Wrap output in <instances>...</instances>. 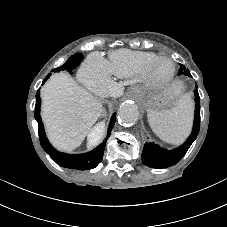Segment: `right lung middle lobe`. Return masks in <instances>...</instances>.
Here are the masks:
<instances>
[{
  "label": "right lung middle lobe",
  "instance_id": "1",
  "mask_svg": "<svg viewBox=\"0 0 227 227\" xmlns=\"http://www.w3.org/2000/svg\"><path fill=\"white\" fill-rule=\"evenodd\" d=\"M82 58H83L82 54L77 53V54L71 56L61 67L54 69V71L59 72V71L63 70V71H68V72L72 73L71 72L72 69L79 65ZM47 78H49V77L47 76ZM47 78L44 79L43 82H45L47 80Z\"/></svg>",
  "mask_w": 227,
  "mask_h": 227
}]
</instances>
